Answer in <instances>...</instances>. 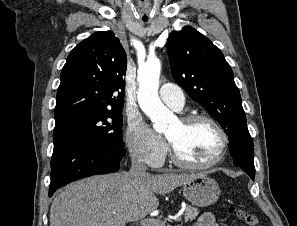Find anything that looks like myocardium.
Listing matches in <instances>:
<instances>
[{"instance_id": "obj_1", "label": "myocardium", "mask_w": 297, "mask_h": 226, "mask_svg": "<svg viewBox=\"0 0 297 226\" xmlns=\"http://www.w3.org/2000/svg\"><path fill=\"white\" fill-rule=\"evenodd\" d=\"M179 121L184 124L188 125L194 122L198 121H204L209 124H211L219 133L221 137V145L219 148V151L214 159L211 161L204 163V164H197L192 163L187 160H185L177 151L175 146L172 144V142L168 139L169 143V150H170V158L172 162L177 165L178 167L184 168V169H190V170H206L210 169L216 165H218L226 155V151L229 145V137L223 126L213 117L207 115V114H187L182 116Z\"/></svg>"}]
</instances>
